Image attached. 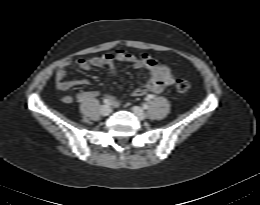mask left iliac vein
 I'll use <instances>...</instances> for the list:
<instances>
[{"label": "left iliac vein", "mask_w": 260, "mask_h": 205, "mask_svg": "<svg viewBox=\"0 0 260 205\" xmlns=\"http://www.w3.org/2000/svg\"><path fill=\"white\" fill-rule=\"evenodd\" d=\"M132 111L137 116L138 119L144 120L146 118V113L143 111L141 107L133 106Z\"/></svg>", "instance_id": "obj_1"}]
</instances>
